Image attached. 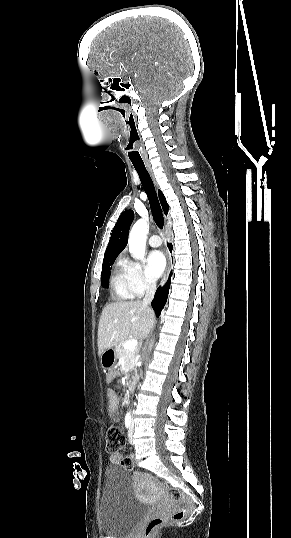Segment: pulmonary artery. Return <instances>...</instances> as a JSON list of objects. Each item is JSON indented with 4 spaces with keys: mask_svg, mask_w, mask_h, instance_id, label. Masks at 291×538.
I'll return each instance as SVG.
<instances>
[{
    "mask_svg": "<svg viewBox=\"0 0 291 538\" xmlns=\"http://www.w3.org/2000/svg\"><path fill=\"white\" fill-rule=\"evenodd\" d=\"M148 244L153 247H159L162 244V239L158 235H153L149 238Z\"/></svg>",
    "mask_w": 291,
    "mask_h": 538,
    "instance_id": "1",
    "label": "pulmonary artery"
}]
</instances>
